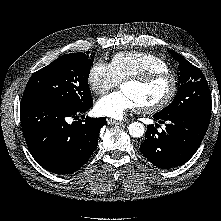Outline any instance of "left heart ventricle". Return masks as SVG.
Returning a JSON list of instances; mask_svg holds the SVG:
<instances>
[{
    "instance_id": "obj_1",
    "label": "left heart ventricle",
    "mask_w": 221,
    "mask_h": 221,
    "mask_svg": "<svg viewBox=\"0 0 221 221\" xmlns=\"http://www.w3.org/2000/svg\"><path fill=\"white\" fill-rule=\"evenodd\" d=\"M170 82L168 79H159L147 85L125 83L122 90L129 93L138 106H150L161 101L169 92Z\"/></svg>"
}]
</instances>
